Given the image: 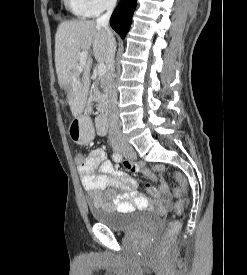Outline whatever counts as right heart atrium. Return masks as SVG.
<instances>
[{
  "label": "right heart atrium",
  "mask_w": 247,
  "mask_h": 275,
  "mask_svg": "<svg viewBox=\"0 0 247 275\" xmlns=\"http://www.w3.org/2000/svg\"><path fill=\"white\" fill-rule=\"evenodd\" d=\"M90 16L99 15L116 6L117 0H82Z\"/></svg>",
  "instance_id": "obj_1"
}]
</instances>
